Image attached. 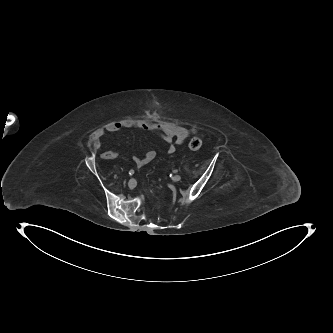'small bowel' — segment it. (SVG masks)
<instances>
[{"instance_id":"c3829d8e","label":"small bowel","mask_w":333,"mask_h":333,"mask_svg":"<svg viewBox=\"0 0 333 333\" xmlns=\"http://www.w3.org/2000/svg\"><path fill=\"white\" fill-rule=\"evenodd\" d=\"M136 128L142 131L158 134L166 143V150L169 154L174 153L176 145H181L191 135L195 134V128H186L184 126L171 122H151L145 120L125 119L114 121L105 126L103 129H98L93 136L92 147L94 150H99L102 147V138L106 133H116L122 129ZM118 156L115 151H105L100 154V158L104 160H112ZM156 157V151L153 149L147 150L143 156L134 155L133 161L138 167H142L151 162Z\"/></svg>"}]
</instances>
